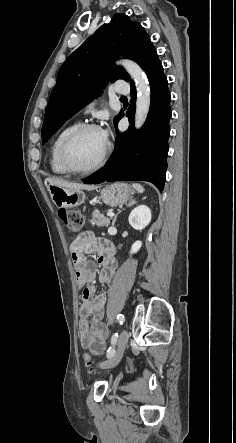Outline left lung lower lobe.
Returning a JSON list of instances; mask_svg holds the SVG:
<instances>
[{
	"mask_svg": "<svg viewBox=\"0 0 236 443\" xmlns=\"http://www.w3.org/2000/svg\"><path fill=\"white\" fill-rule=\"evenodd\" d=\"M146 72L151 88V104L143 127L135 131L134 115L136 88L131 82V101L126 116L132 124L124 133L117 134V146L107 161V165L85 179L84 183L99 184L104 181L137 180L152 182L163 190L168 154V138L171 117L170 92L168 82L153 48L142 67ZM124 116L120 113L115 124Z\"/></svg>",
	"mask_w": 236,
	"mask_h": 443,
	"instance_id": "0a47b994",
	"label": "left lung lower lobe"
}]
</instances>
